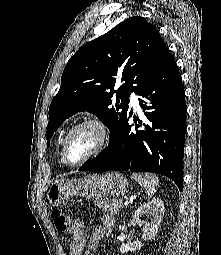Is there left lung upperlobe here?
I'll use <instances>...</instances> for the list:
<instances>
[{
  "label": "left lung upper lobe",
  "mask_w": 221,
  "mask_h": 255,
  "mask_svg": "<svg viewBox=\"0 0 221 255\" xmlns=\"http://www.w3.org/2000/svg\"><path fill=\"white\" fill-rule=\"evenodd\" d=\"M166 49L155 26L140 16L82 46L66 64L61 87L49 107L47 145L64 120L79 111L95 114L111 135L129 113L130 94L138 93Z\"/></svg>",
  "instance_id": "5c2ea615"
}]
</instances>
